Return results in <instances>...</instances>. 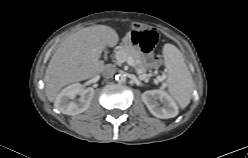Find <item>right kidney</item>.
<instances>
[{"instance_id":"right-kidney-1","label":"right kidney","mask_w":248,"mask_h":158,"mask_svg":"<svg viewBox=\"0 0 248 158\" xmlns=\"http://www.w3.org/2000/svg\"><path fill=\"white\" fill-rule=\"evenodd\" d=\"M77 95L80 98L74 101ZM93 95V88L89 87L83 90L80 83H75L67 86L58 94L55 106L63 114L77 115L89 108Z\"/></svg>"}]
</instances>
